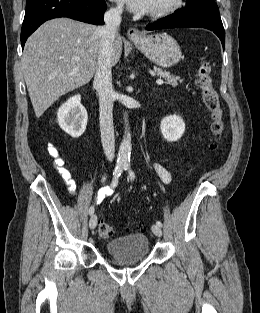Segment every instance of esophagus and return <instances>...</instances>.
Returning <instances> with one entry per match:
<instances>
[{
    "label": "esophagus",
    "instance_id": "34e87169",
    "mask_svg": "<svg viewBox=\"0 0 260 313\" xmlns=\"http://www.w3.org/2000/svg\"><path fill=\"white\" fill-rule=\"evenodd\" d=\"M127 36L131 41H137L142 38V33L136 28H129Z\"/></svg>",
    "mask_w": 260,
    "mask_h": 313
}]
</instances>
